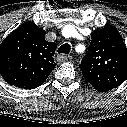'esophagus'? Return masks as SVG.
<instances>
[{
	"label": "esophagus",
	"instance_id": "1",
	"mask_svg": "<svg viewBox=\"0 0 127 127\" xmlns=\"http://www.w3.org/2000/svg\"><path fill=\"white\" fill-rule=\"evenodd\" d=\"M69 58V56L65 55V54H58L56 59L58 62H64L67 61Z\"/></svg>",
	"mask_w": 127,
	"mask_h": 127
}]
</instances>
